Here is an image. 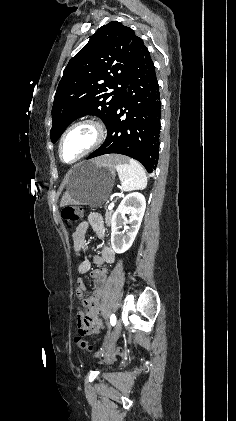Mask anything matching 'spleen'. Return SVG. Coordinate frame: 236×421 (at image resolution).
<instances>
[{"label": "spleen", "instance_id": "spleen-1", "mask_svg": "<svg viewBox=\"0 0 236 421\" xmlns=\"http://www.w3.org/2000/svg\"><path fill=\"white\" fill-rule=\"evenodd\" d=\"M124 190H142L147 186L146 172L137 160H121L115 166Z\"/></svg>", "mask_w": 236, "mask_h": 421}]
</instances>
